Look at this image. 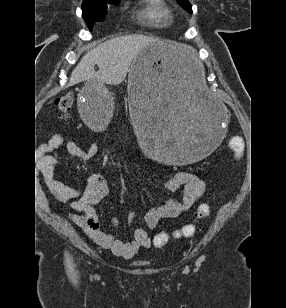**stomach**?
Wrapping results in <instances>:
<instances>
[{
  "label": "stomach",
  "instance_id": "1",
  "mask_svg": "<svg viewBox=\"0 0 286 308\" xmlns=\"http://www.w3.org/2000/svg\"><path fill=\"white\" fill-rule=\"evenodd\" d=\"M198 51L181 44H147L132 62L128 100L132 125H140L143 158L159 159L163 168H188L226 144L224 100L205 86ZM110 85L92 79L77 97L84 124L113 129L116 116Z\"/></svg>",
  "mask_w": 286,
  "mask_h": 308
}]
</instances>
